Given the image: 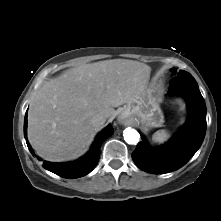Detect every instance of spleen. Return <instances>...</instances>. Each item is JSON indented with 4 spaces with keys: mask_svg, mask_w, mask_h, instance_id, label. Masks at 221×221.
Segmentation results:
<instances>
[{
    "mask_svg": "<svg viewBox=\"0 0 221 221\" xmlns=\"http://www.w3.org/2000/svg\"><path fill=\"white\" fill-rule=\"evenodd\" d=\"M169 137V133L166 130H159L154 133L153 140L156 143H163L165 142Z\"/></svg>",
    "mask_w": 221,
    "mask_h": 221,
    "instance_id": "1",
    "label": "spleen"
}]
</instances>
